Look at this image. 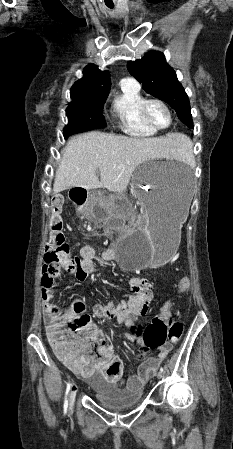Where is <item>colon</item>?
I'll return each mask as SVG.
<instances>
[{
  "mask_svg": "<svg viewBox=\"0 0 233 449\" xmlns=\"http://www.w3.org/2000/svg\"><path fill=\"white\" fill-rule=\"evenodd\" d=\"M62 201L54 198L51 202L52 215L50 218L49 235L45 247V263H62L73 265L75 259L71 257L70 246L66 243L63 234V219L61 216ZM177 292L184 295L190 290V281L188 277H179L176 282ZM77 309L82 307L77 303ZM171 303H165L159 314L153 316L151 322L141 334L138 327H133L127 331V336L132 337L134 341H140L144 352L154 349L170 348V344L180 340L183 332L182 324L172 318ZM45 316L49 322L48 336L51 345L57 355L71 368L78 369L82 361L73 354L67 344V337L76 333L74 340L77 348L81 352L96 349V358L104 365L108 362L103 360L107 350L112 346L111 341L104 336H99L95 327L91 324L87 315L77 314L69 319H65L57 305L48 303L45 307ZM140 337V338H139ZM109 371V369H107Z\"/></svg>",
  "mask_w": 233,
  "mask_h": 449,
  "instance_id": "obj_1",
  "label": "colon"
}]
</instances>
